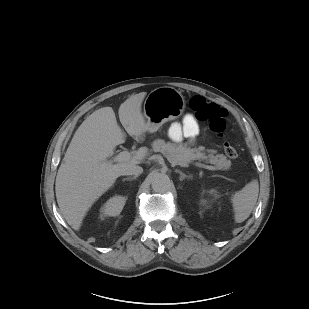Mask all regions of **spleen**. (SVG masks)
Listing matches in <instances>:
<instances>
[{
  "mask_svg": "<svg viewBox=\"0 0 309 309\" xmlns=\"http://www.w3.org/2000/svg\"><path fill=\"white\" fill-rule=\"evenodd\" d=\"M210 194L217 195L215 190H210ZM258 194L259 184L255 179L233 195L234 218L237 223L245 221L250 216L257 202Z\"/></svg>",
  "mask_w": 309,
  "mask_h": 309,
  "instance_id": "3e777b00",
  "label": "spleen"
}]
</instances>
